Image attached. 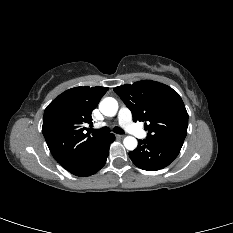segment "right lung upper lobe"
Here are the masks:
<instances>
[{
  "instance_id": "1",
  "label": "right lung upper lobe",
  "mask_w": 233,
  "mask_h": 233,
  "mask_svg": "<svg viewBox=\"0 0 233 233\" xmlns=\"http://www.w3.org/2000/svg\"><path fill=\"white\" fill-rule=\"evenodd\" d=\"M106 87H75L45 109L42 132L55 160L65 169L78 162L104 135L85 133Z\"/></svg>"
}]
</instances>
